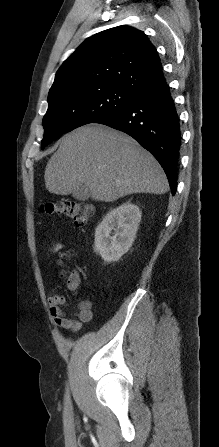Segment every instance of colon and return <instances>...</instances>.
I'll return each instance as SVG.
<instances>
[{"mask_svg": "<svg viewBox=\"0 0 219 447\" xmlns=\"http://www.w3.org/2000/svg\"><path fill=\"white\" fill-rule=\"evenodd\" d=\"M41 211L49 216H65L76 226H84L92 214V209L88 204L73 199L48 201L41 206ZM75 276V273H71L68 278Z\"/></svg>", "mask_w": 219, "mask_h": 447, "instance_id": "obj_1", "label": "colon"}]
</instances>
